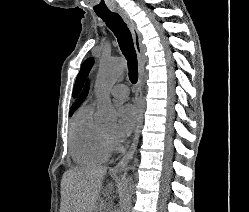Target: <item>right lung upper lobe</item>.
Segmentation results:
<instances>
[{
  "label": "right lung upper lobe",
  "mask_w": 249,
  "mask_h": 212,
  "mask_svg": "<svg viewBox=\"0 0 249 212\" xmlns=\"http://www.w3.org/2000/svg\"><path fill=\"white\" fill-rule=\"evenodd\" d=\"M89 91V82H87L85 89L83 91V93L81 94V96L78 98V100L73 104L72 108H71V112H74L79 106L80 104L84 101V99L86 98L87 94Z\"/></svg>",
  "instance_id": "right-lung-upper-lobe-1"
}]
</instances>
